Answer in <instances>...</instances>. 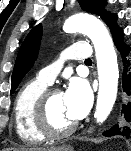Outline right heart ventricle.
I'll use <instances>...</instances> for the list:
<instances>
[{
    "mask_svg": "<svg viewBox=\"0 0 131 151\" xmlns=\"http://www.w3.org/2000/svg\"><path fill=\"white\" fill-rule=\"evenodd\" d=\"M48 84L39 79L26 83L15 99L14 125L21 140L29 144L41 143L45 140L34 120L35 106L41 94L47 89Z\"/></svg>",
    "mask_w": 131,
    "mask_h": 151,
    "instance_id": "right-heart-ventricle-1",
    "label": "right heart ventricle"
}]
</instances>
